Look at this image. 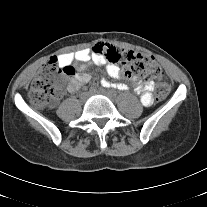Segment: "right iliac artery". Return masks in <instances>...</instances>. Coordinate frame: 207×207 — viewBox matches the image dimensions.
<instances>
[{
	"label": "right iliac artery",
	"instance_id": "82829eb1",
	"mask_svg": "<svg viewBox=\"0 0 207 207\" xmlns=\"http://www.w3.org/2000/svg\"><path fill=\"white\" fill-rule=\"evenodd\" d=\"M101 84H102V86H104V87H110V83L109 82H107L106 80H102L101 81ZM92 89V88H91Z\"/></svg>",
	"mask_w": 207,
	"mask_h": 207
}]
</instances>
